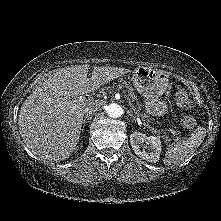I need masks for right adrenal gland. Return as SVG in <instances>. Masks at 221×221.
<instances>
[{"mask_svg": "<svg viewBox=\"0 0 221 221\" xmlns=\"http://www.w3.org/2000/svg\"><path fill=\"white\" fill-rule=\"evenodd\" d=\"M87 120H88V116H85L83 123L85 124Z\"/></svg>", "mask_w": 221, "mask_h": 221, "instance_id": "1", "label": "right adrenal gland"}]
</instances>
